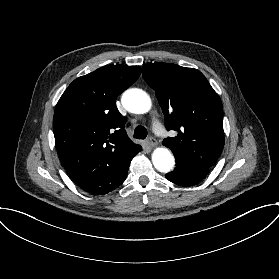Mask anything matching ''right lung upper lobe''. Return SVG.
<instances>
[{
    "mask_svg": "<svg viewBox=\"0 0 279 279\" xmlns=\"http://www.w3.org/2000/svg\"><path fill=\"white\" fill-rule=\"evenodd\" d=\"M139 66L107 65L74 80L59 99L53 117L57 152L71 179L93 195L125 180L141 150L125 131L117 96L140 76Z\"/></svg>",
    "mask_w": 279,
    "mask_h": 279,
    "instance_id": "1",
    "label": "right lung upper lobe"
}]
</instances>
